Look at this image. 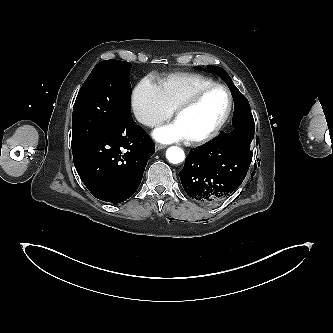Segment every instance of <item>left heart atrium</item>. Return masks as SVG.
Listing matches in <instances>:
<instances>
[{
  "label": "left heart atrium",
  "mask_w": 333,
  "mask_h": 333,
  "mask_svg": "<svg viewBox=\"0 0 333 333\" xmlns=\"http://www.w3.org/2000/svg\"><path fill=\"white\" fill-rule=\"evenodd\" d=\"M153 136L156 140L163 143L187 139L185 133L176 122L157 128L153 132Z\"/></svg>",
  "instance_id": "obj_1"
}]
</instances>
